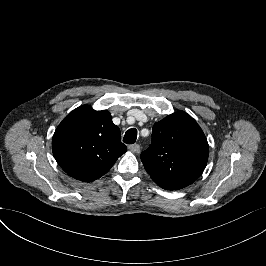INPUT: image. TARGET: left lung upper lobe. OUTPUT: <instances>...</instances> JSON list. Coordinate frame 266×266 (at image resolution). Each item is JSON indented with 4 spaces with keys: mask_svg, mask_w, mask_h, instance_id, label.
Masks as SVG:
<instances>
[{
    "mask_svg": "<svg viewBox=\"0 0 266 266\" xmlns=\"http://www.w3.org/2000/svg\"><path fill=\"white\" fill-rule=\"evenodd\" d=\"M208 152L202 129L187 113L178 111L154 124L151 145L141 160L156 184L178 190L202 174Z\"/></svg>",
    "mask_w": 266,
    "mask_h": 266,
    "instance_id": "1",
    "label": "left lung upper lobe"
}]
</instances>
